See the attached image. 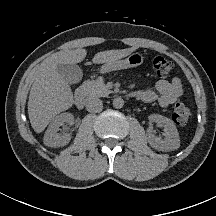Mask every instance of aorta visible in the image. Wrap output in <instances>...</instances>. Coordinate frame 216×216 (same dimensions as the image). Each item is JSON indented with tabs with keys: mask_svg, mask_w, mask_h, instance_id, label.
<instances>
[{
	"mask_svg": "<svg viewBox=\"0 0 216 216\" xmlns=\"http://www.w3.org/2000/svg\"><path fill=\"white\" fill-rule=\"evenodd\" d=\"M123 105H124V100L122 98L118 97V98H115L113 100V107L114 108L120 109L123 107Z\"/></svg>",
	"mask_w": 216,
	"mask_h": 216,
	"instance_id": "aorta-1",
	"label": "aorta"
}]
</instances>
